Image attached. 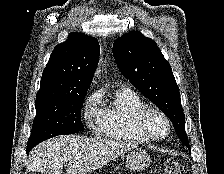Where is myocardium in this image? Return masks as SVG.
<instances>
[{
  "instance_id": "1",
  "label": "myocardium",
  "mask_w": 224,
  "mask_h": 174,
  "mask_svg": "<svg viewBox=\"0 0 224 174\" xmlns=\"http://www.w3.org/2000/svg\"><path fill=\"white\" fill-rule=\"evenodd\" d=\"M151 114H157L159 115L166 123V133L162 136H157L152 134L147 126V119L149 115ZM136 127L140 134L144 136L146 139L149 141H162L166 139L170 132H171V121L169 117L159 108L156 107H150V106H145L143 107L136 115L135 119Z\"/></svg>"
}]
</instances>
